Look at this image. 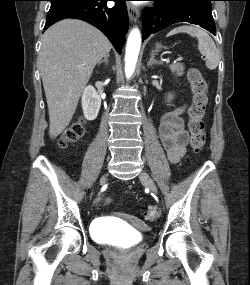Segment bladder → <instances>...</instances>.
<instances>
[{
    "instance_id": "1",
    "label": "bladder",
    "mask_w": 250,
    "mask_h": 285,
    "mask_svg": "<svg viewBox=\"0 0 250 285\" xmlns=\"http://www.w3.org/2000/svg\"><path fill=\"white\" fill-rule=\"evenodd\" d=\"M93 237L100 243L116 246L130 247L142 240L140 233L133 232L128 228L106 221L96 220L91 229Z\"/></svg>"
}]
</instances>
